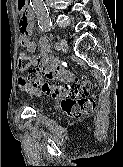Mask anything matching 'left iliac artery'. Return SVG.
Segmentation results:
<instances>
[{
    "mask_svg": "<svg viewBox=\"0 0 123 167\" xmlns=\"http://www.w3.org/2000/svg\"><path fill=\"white\" fill-rule=\"evenodd\" d=\"M54 48H55L56 50H60V49H61L59 42L55 43Z\"/></svg>",
    "mask_w": 123,
    "mask_h": 167,
    "instance_id": "44dca946",
    "label": "left iliac artery"
}]
</instances>
